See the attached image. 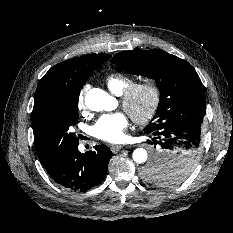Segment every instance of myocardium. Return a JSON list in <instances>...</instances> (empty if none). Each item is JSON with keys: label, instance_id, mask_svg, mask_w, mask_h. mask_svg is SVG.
<instances>
[{"label": "myocardium", "instance_id": "f54148a6", "mask_svg": "<svg viewBox=\"0 0 233 233\" xmlns=\"http://www.w3.org/2000/svg\"><path fill=\"white\" fill-rule=\"evenodd\" d=\"M145 93L147 107L143 112H137L134 103L137 96ZM121 105L138 125H146L156 116L161 104V91L158 84L151 78L131 83L120 94Z\"/></svg>", "mask_w": 233, "mask_h": 233}]
</instances>
